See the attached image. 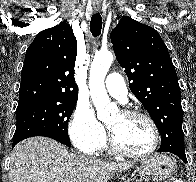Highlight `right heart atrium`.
<instances>
[{"label":"right heart atrium","mask_w":196,"mask_h":182,"mask_svg":"<svg viewBox=\"0 0 196 182\" xmlns=\"http://www.w3.org/2000/svg\"><path fill=\"white\" fill-rule=\"evenodd\" d=\"M74 145L85 153H96L106 143V132L89 105L78 103L69 124Z\"/></svg>","instance_id":"obj_1"}]
</instances>
